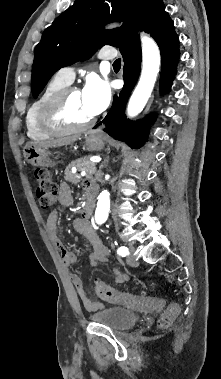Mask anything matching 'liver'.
<instances>
[{
  "label": "liver",
  "instance_id": "liver-1",
  "mask_svg": "<svg viewBox=\"0 0 221 379\" xmlns=\"http://www.w3.org/2000/svg\"><path fill=\"white\" fill-rule=\"evenodd\" d=\"M79 137H80L79 135H74V136H69V137H65V138H61L57 140L45 141V142H31L29 144L48 149L51 147H59V146L71 144L75 142Z\"/></svg>",
  "mask_w": 221,
  "mask_h": 379
}]
</instances>
